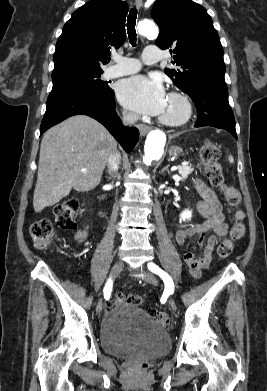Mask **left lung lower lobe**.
Masks as SVG:
<instances>
[{"label":"left lung lower lobe","instance_id":"obj_1","mask_svg":"<svg viewBox=\"0 0 267 391\" xmlns=\"http://www.w3.org/2000/svg\"><path fill=\"white\" fill-rule=\"evenodd\" d=\"M198 111L195 127L212 126L224 129L237 138L233 111L228 102L227 86L205 83L186 92Z\"/></svg>","mask_w":267,"mask_h":391}]
</instances>
